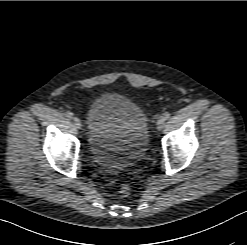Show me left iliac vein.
<instances>
[{"mask_svg": "<svg viewBox=\"0 0 247 245\" xmlns=\"http://www.w3.org/2000/svg\"><path fill=\"white\" fill-rule=\"evenodd\" d=\"M156 125H157V129H158V130H161V129L163 128V126H164V121L161 119V117L157 120Z\"/></svg>", "mask_w": 247, "mask_h": 245, "instance_id": "left-iliac-vein-1", "label": "left iliac vein"}]
</instances>
